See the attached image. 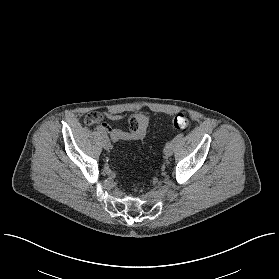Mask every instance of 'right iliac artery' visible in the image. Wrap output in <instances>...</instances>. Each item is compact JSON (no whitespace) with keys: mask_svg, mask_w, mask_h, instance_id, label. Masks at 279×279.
Masks as SVG:
<instances>
[{"mask_svg":"<svg viewBox=\"0 0 279 279\" xmlns=\"http://www.w3.org/2000/svg\"><path fill=\"white\" fill-rule=\"evenodd\" d=\"M96 129H97V131L100 132L104 137H105V136L107 137V134H106L105 132L102 131V129H101L100 126H97Z\"/></svg>","mask_w":279,"mask_h":279,"instance_id":"obj_1","label":"right iliac artery"}]
</instances>
